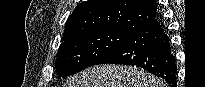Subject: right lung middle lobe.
<instances>
[{
    "mask_svg": "<svg viewBox=\"0 0 205 87\" xmlns=\"http://www.w3.org/2000/svg\"><path fill=\"white\" fill-rule=\"evenodd\" d=\"M132 33L125 30L103 29L81 33L64 40L57 52L58 76L64 79L95 65Z\"/></svg>",
    "mask_w": 205,
    "mask_h": 87,
    "instance_id": "obj_1",
    "label": "right lung middle lobe"
}]
</instances>
